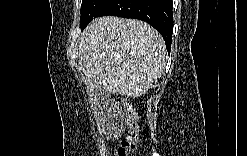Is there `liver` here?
I'll list each match as a JSON object with an SVG mask.
<instances>
[{"label": "liver", "instance_id": "1", "mask_svg": "<svg viewBox=\"0 0 247 156\" xmlns=\"http://www.w3.org/2000/svg\"><path fill=\"white\" fill-rule=\"evenodd\" d=\"M167 51L160 33L143 21L94 19L79 41V67L98 90L137 98L163 74Z\"/></svg>", "mask_w": 247, "mask_h": 156}]
</instances>
